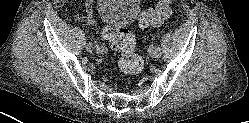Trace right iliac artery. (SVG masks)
Listing matches in <instances>:
<instances>
[{
    "label": "right iliac artery",
    "instance_id": "right-iliac-artery-1",
    "mask_svg": "<svg viewBox=\"0 0 249 123\" xmlns=\"http://www.w3.org/2000/svg\"><path fill=\"white\" fill-rule=\"evenodd\" d=\"M95 47L101 53H104V52L107 51V48L105 46H103V45L95 44Z\"/></svg>",
    "mask_w": 249,
    "mask_h": 123
}]
</instances>
